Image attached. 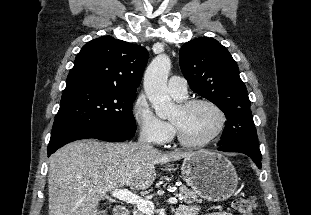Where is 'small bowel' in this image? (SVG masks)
<instances>
[{
	"instance_id": "c3829d8e",
	"label": "small bowel",
	"mask_w": 311,
	"mask_h": 215,
	"mask_svg": "<svg viewBox=\"0 0 311 215\" xmlns=\"http://www.w3.org/2000/svg\"><path fill=\"white\" fill-rule=\"evenodd\" d=\"M199 209L193 206L183 205L177 209L176 215H198ZM204 215H233L228 212H210Z\"/></svg>"
}]
</instances>
